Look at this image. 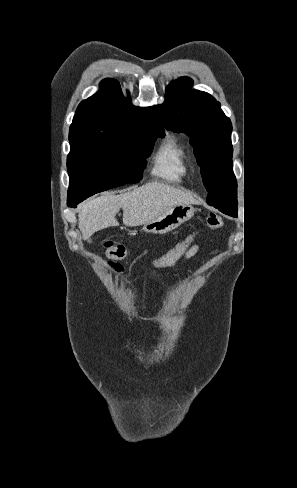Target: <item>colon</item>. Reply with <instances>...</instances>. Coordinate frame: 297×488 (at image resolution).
<instances>
[{"instance_id": "5ec220e1", "label": "colon", "mask_w": 297, "mask_h": 488, "mask_svg": "<svg viewBox=\"0 0 297 488\" xmlns=\"http://www.w3.org/2000/svg\"><path fill=\"white\" fill-rule=\"evenodd\" d=\"M206 223L210 229H218L222 226V219L217 213L211 212L207 216ZM195 237H196L195 233L187 235L184 239H182L174 247L168 250L165 254L156 258L154 260V265L158 268H168L174 265L177 261H179L183 257V255L193 245ZM105 245L108 249L109 255L115 260L110 262L111 266L117 272L122 271L123 267L119 262H117V260H121L127 257L128 255L127 249L121 245H114L110 241L106 242Z\"/></svg>"}]
</instances>
